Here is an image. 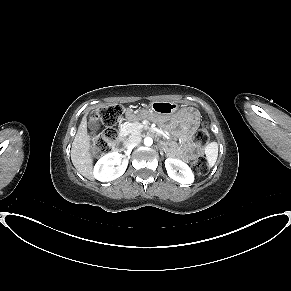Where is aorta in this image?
<instances>
[{
    "label": "aorta",
    "instance_id": "1",
    "mask_svg": "<svg viewBox=\"0 0 291 291\" xmlns=\"http://www.w3.org/2000/svg\"><path fill=\"white\" fill-rule=\"evenodd\" d=\"M152 144H153V139L151 137L144 138V145L145 146H151Z\"/></svg>",
    "mask_w": 291,
    "mask_h": 291
}]
</instances>
